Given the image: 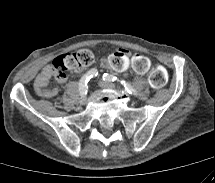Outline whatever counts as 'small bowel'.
Wrapping results in <instances>:
<instances>
[{
    "mask_svg": "<svg viewBox=\"0 0 215 183\" xmlns=\"http://www.w3.org/2000/svg\"><path fill=\"white\" fill-rule=\"evenodd\" d=\"M103 68H108L112 72L127 74L130 77L138 78L144 76L149 70L148 57L138 51L130 52L125 49H118L104 57L100 61ZM49 66L45 67L36 77L34 82L35 93L42 98H53L58 94V88L50 86L49 82L53 78L49 76ZM58 82L64 83L67 78H57Z\"/></svg>",
    "mask_w": 215,
    "mask_h": 183,
    "instance_id": "small-bowel-1",
    "label": "small bowel"
}]
</instances>
